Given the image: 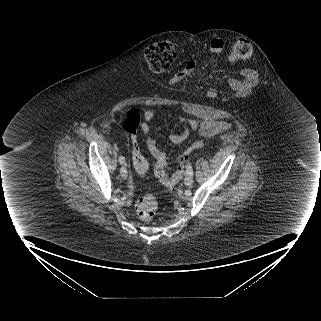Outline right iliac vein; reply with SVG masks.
I'll return each instance as SVG.
<instances>
[{
  "mask_svg": "<svg viewBox=\"0 0 321 321\" xmlns=\"http://www.w3.org/2000/svg\"><path fill=\"white\" fill-rule=\"evenodd\" d=\"M120 174L123 178H127L128 176V173H127V170L125 167H122L121 170H120Z\"/></svg>",
  "mask_w": 321,
  "mask_h": 321,
  "instance_id": "1",
  "label": "right iliac vein"
}]
</instances>
